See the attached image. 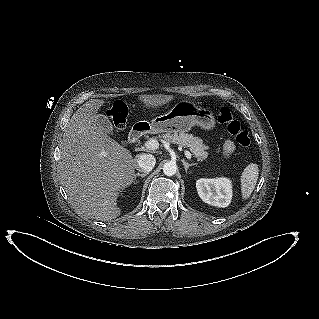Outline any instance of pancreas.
<instances>
[{
  "label": "pancreas",
  "instance_id": "cf45deb5",
  "mask_svg": "<svg viewBox=\"0 0 319 319\" xmlns=\"http://www.w3.org/2000/svg\"><path fill=\"white\" fill-rule=\"evenodd\" d=\"M163 139L181 147H187L198 161H203L208 157V146L203 140L188 133L181 134H163Z\"/></svg>",
  "mask_w": 319,
  "mask_h": 319
}]
</instances>
